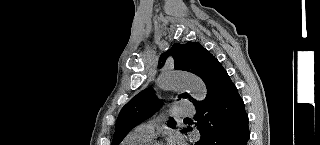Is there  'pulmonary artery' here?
Listing matches in <instances>:
<instances>
[{
  "label": "pulmonary artery",
  "instance_id": "1",
  "mask_svg": "<svg viewBox=\"0 0 320 145\" xmlns=\"http://www.w3.org/2000/svg\"><path fill=\"white\" fill-rule=\"evenodd\" d=\"M171 112L175 116L184 117L195 113L194 108L186 107L184 101L177 102L171 107ZM160 122V119H152L145 123L138 125L135 130L149 138L154 137V129Z\"/></svg>",
  "mask_w": 320,
  "mask_h": 145
}]
</instances>
